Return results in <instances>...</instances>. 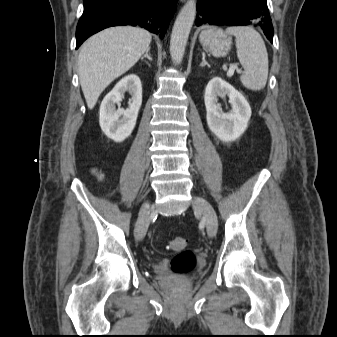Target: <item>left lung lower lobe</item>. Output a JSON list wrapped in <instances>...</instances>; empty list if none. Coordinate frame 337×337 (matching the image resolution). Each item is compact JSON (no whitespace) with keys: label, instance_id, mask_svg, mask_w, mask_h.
<instances>
[{"label":"left lung lower lobe","instance_id":"0a47b994","mask_svg":"<svg viewBox=\"0 0 337 337\" xmlns=\"http://www.w3.org/2000/svg\"><path fill=\"white\" fill-rule=\"evenodd\" d=\"M196 25H254L273 42V26L267 0H198Z\"/></svg>","mask_w":337,"mask_h":337}]
</instances>
